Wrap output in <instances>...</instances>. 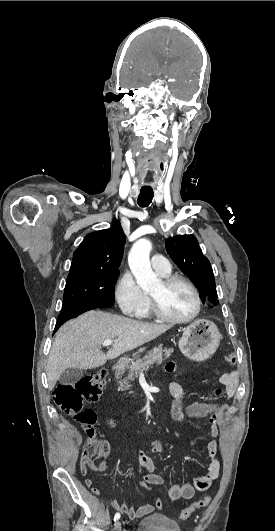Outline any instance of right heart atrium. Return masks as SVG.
I'll list each match as a JSON object with an SVG mask.
<instances>
[{
  "label": "right heart atrium",
  "mask_w": 275,
  "mask_h": 531,
  "mask_svg": "<svg viewBox=\"0 0 275 531\" xmlns=\"http://www.w3.org/2000/svg\"><path fill=\"white\" fill-rule=\"evenodd\" d=\"M116 298L122 312L130 317H142L150 307L149 296L140 289L130 272L123 273L118 280Z\"/></svg>",
  "instance_id": "obj_1"
}]
</instances>
